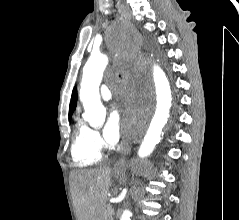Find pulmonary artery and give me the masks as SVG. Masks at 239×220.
<instances>
[{"label": "pulmonary artery", "instance_id": "1", "mask_svg": "<svg viewBox=\"0 0 239 220\" xmlns=\"http://www.w3.org/2000/svg\"><path fill=\"white\" fill-rule=\"evenodd\" d=\"M100 95L103 100L108 101L112 98V93L107 85H102L100 88Z\"/></svg>", "mask_w": 239, "mask_h": 220}]
</instances>
